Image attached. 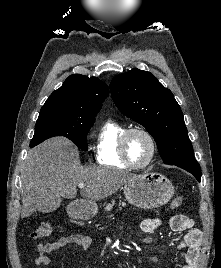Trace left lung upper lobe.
I'll use <instances>...</instances> for the list:
<instances>
[{"mask_svg":"<svg viewBox=\"0 0 221 268\" xmlns=\"http://www.w3.org/2000/svg\"><path fill=\"white\" fill-rule=\"evenodd\" d=\"M118 109L152 135L163 162L195 160L183 113L172 92L150 72L133 69L110 83Z\"/></svg>","mask_w":221,"mask_h":268,"instance_id":"obj_1","label":"left lung upper lobe"}]
</instances>
